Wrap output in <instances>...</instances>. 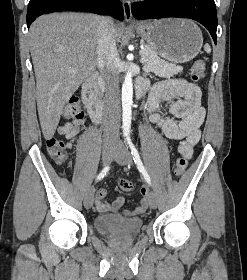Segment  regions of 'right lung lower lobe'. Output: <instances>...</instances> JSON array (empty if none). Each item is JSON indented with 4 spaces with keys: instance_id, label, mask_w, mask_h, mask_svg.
Returning <instances> with one entry per match:
<instances>
[{
    "instance_id": "1",
    "label": "right lung lower lobe",
    "mask_w": 247,
    "mask_h": 280,
    "mask_svg": "<svg viewBox=\"0 0 247 280\" xmlns=\"http://www.w3.org/2000/svg\"><path fill=\"white\" fill-rule=\"evenodd\" d=\"M87 11L110 14L123 19V8L119 0H30L27 9V26L40 15L58 11Z\"/></svg>"
}]
</instances>
